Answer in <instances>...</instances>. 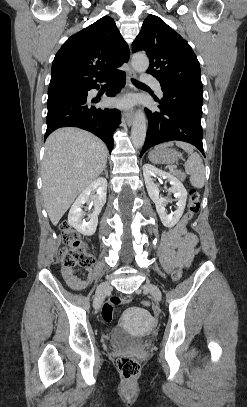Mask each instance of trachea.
Listing matches in <instances>:
<instances>
[{
  "label": "trachea",
  "mask_w": 247,
  "mask_h": 407,
  "mask_svg": "<svg viewBox=\"0 0 247 407\" xmlns=\"http://www.w3.org/2000/svg\"><path fill=\"white\" fill-rule=\"evenodd\" d=\"M132 82H133V84H135V85H145V84H143V83H141V82H138V81H136V80H134V79H132Z\"/></svg>",
  "instance_id": "1"
}]
</instances>
